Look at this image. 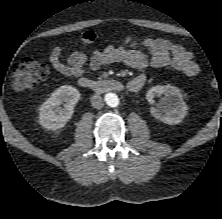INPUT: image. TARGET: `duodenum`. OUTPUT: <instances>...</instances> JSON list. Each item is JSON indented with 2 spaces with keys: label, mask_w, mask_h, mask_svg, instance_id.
I'll list each match as a JSON object with an SVG mask.
<instances>
[{
  "label": "duodenum",
  "mask_w": 222,
  "mask_h": 219,
  "mask_svg": "<svg viewBox=\"0 0 222 219\" xmlns=\"http://www.w3.org/2000/svg\"><path fill=\"white\" fill-rule=\"evenodd\" d=\"M79 84L84 88L96 92H105L109 90L121 91L123 89H127L129 91H138L143 85L140 81H130L129 83L124 84L121 81L115 79L94 81L87 78H81L79 80Z\"/></svg>",
  "instance_id": "duodenum-1"
}]
</instances>
